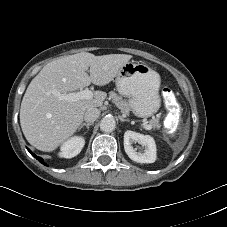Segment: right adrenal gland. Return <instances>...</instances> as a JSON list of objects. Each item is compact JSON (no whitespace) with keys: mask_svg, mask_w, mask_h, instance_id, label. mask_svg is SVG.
Returning a JSON list of instances; mask_svg holds the SVG:
<instances>
[{"mask_svg":"<svg viewBox=\"0 0 227 227\" xmlns=\"http://www.w3.org/2000/svg\"><path fill=\"white\" fill-rule=\"evenodd\" d=\"M93 123H83L78 127V131H80L84 126H86V128L89 130V127L92 125Z\"/></svg>","mask_w":227,"mask_h":227,"instance_id":"obj_1","label":"right adrenal gland"}]
</instances>
